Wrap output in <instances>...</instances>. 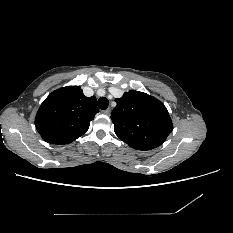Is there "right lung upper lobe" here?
Wrapping results in <instances>:
<instances>
[{"instance_id":"1","label":"right lung upper lobe","mask_w":233,"mask_h":233,"mask_svg":"<svg viewBox=\"0 0 233 233\" xmlns=\"http://www.w3.org/2000/svg\"><path fill=\"white\" fill-rule=\"evenodd\" d=\"M99 112L96 97H86L79 86H67L52 92L41 104L36 129L48 143L69 144L83 135Z\"/></svg>"}]
</instances>
